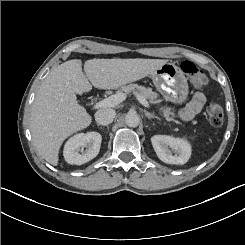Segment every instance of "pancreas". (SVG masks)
Returning a JSON list of instances; mask_svg holds the SVG:
<instances>
[{"label": "pancreas", "instance_id": "1", "mask_svg": "<svg viewBox=\"0 0 245 245\" xmlns=\"http://www.w3.org/2000/svg\"><path fill=\"white\" fill-rule=\"evenodd\" d=\"M129 92L140 94L141 96L148 99L149 101H152L153 99L157 98V94L152 91V88L144 87L135 83L121 86L115 91V93H129ZM164 113L168 114L169 112L167 110H164ZM167 120L171 121V119H167Z\"/></svg>", "mask_w": 245, "mask_h": 245}]
</instances>
